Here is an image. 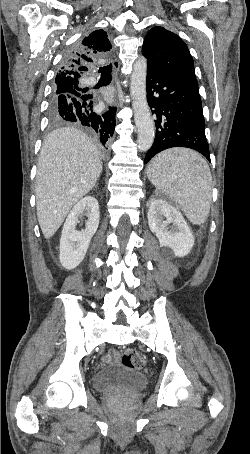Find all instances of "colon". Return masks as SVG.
<instances>
[{
  "label": "colon",
  "instance_id": "obj_1",
  "mask_svg": "<svg viewBox=\"0 0 250 454\" xmlns=\"http://www.w3.org/2000/svg\"><path fill=\"white\" fill-rule=\"evenodd\" d=\"M121 362L125 367L139 370L144 365V357L134 349H125L121 354Z\"/></svg>",
  "mask_w": 250,
  "mask_h": 454
}]
</instances>
